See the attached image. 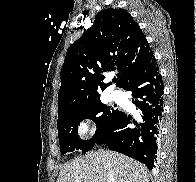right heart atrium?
I'll list each match as a JSON object with an SVG mask.
<instances>
[{"mask_svg": "<svg viewBox=\"0 0 196 182\" xmlns=\"http://www.w3.org/2000/svg\"><path fill=\"white\" fill-rule=\"evenodd\" d=\"M80 131L82 133H86L88 131H92V128L89 126L88 122L87 121H82L81 124H80V127H79Z\"/></svg>", "mask_w": 196, "mask_h": 182, "instance_id": "1", "label": "right heart atrium"}]
</instances>
